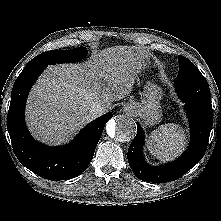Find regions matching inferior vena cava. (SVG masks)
<instances>
[{"label":"inferior vena cava","instance_id":"602c4592","mask_svg":"<svg viewBox=\"0 0 221 221\" xmlns=\"http://www.w3.org/2000/svg\"><path fill=\"white\" fill-rule=\"evenodd\" d=\"M105 112V107L101 104H94L90 107V113L94 117H98Z\"/></svg>","mask_w":221,"mask_h":221}]
</instances>
